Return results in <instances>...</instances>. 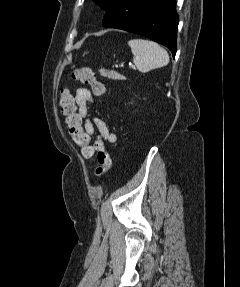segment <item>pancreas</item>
Here are the masks:
<instances>
[{
	"instance_id": "pancreas-1",
	"label": "pancreas",
	"mask_w": 240,
	"mask_h": 287,
	"mask_svg": "<svg viewBox=\"0 0 240 287\" xmlns=\"http://www.w3.org/2000/svg\"><path fill=\"white\" fill-rule=\"evenodd\" d=\"M100 74H101V76L108 77V78L113 79V80L123 79V76L120 75L119 73L115 72V71H106L104 69H101Z\"/></svg>"
}]
</instances>
